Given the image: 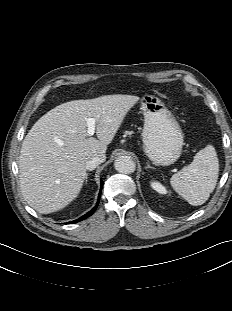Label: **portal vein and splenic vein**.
Here are the masks:
<instances>
[{"mask_svg":"<svg viewBox=\"0 0 232 311\" xmlns=\"http://www.w3.org/2000/svg\"><path fill=\"white\" fill-rule=\"evenodd\" d=\"M96 122H97V118H87L86 119V123H87V133L88 136H93L95 133V129H96Z\"/></svg>","mask_w":232,"mask_h":311,"instance_id":"18ae733b","label":"portal vein and splenic vein"}]
</instances>
